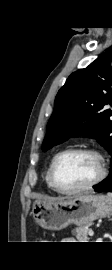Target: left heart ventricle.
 Wrapping results in <instances>:
<instances>
[{
  "instance_id": "obj_1",
  "label": "left heart ventricle",
  "mask_w": 112,
  "mask_h": 270,
  "mask_svg": "<svg viewBox=\"0 0 112 270\" xmlns=\"http://www.w3.org/2000/svg\"><path fill=\"white\" fill-rule=\"evenodd\" d=\"M99 172L98 160L89 154L71 153L59 159L55 168L58 184L67 189L84 186Z\"/></svg>"
}]
</instances>
